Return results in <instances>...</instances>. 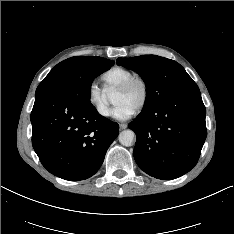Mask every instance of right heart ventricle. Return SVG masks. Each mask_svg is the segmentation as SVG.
<instances>
[{
    "label": "right heart ventricle",
    "mask_w": 234,
    "mask_h": 234,
    "mask_svg": "<svg viewBox=\"0 0 234 234\" xmlns=\"http://www.w3.org/2000/svg\"><path fill=\"white\" fill-rule=\"evenodd\" d=\"M133 75L134 73L132 71L123 67L115 66L108 69L101 75V81L104 89L109 90L111 88H117Z\"/></svg>",
    "instance_id": "1"
}]
</instances>
